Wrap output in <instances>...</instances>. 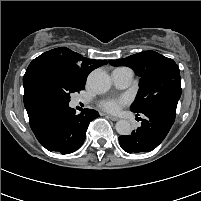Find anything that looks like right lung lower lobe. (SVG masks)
I'll return each instance as SVG.
<instances>
[{
    "label": "right lung lower lobe",
    "instance_id": "obj_1",
    "mask_svg": "<svg viewBox=\"0 0 201 201\" xmlns=\"http://www.w3.org/2000/svg\"><path fill=\"white\" fill-rule=\"evenodd\" d=\"M68 101L51 93L27 89L24 105L30 127L38 141L49 151L68 154L80 148L89 123L99 116L93 109L76 114Z\"/></svg>",
    "mask_w": 201,
    "mask_h": 201
}]
</instances>
